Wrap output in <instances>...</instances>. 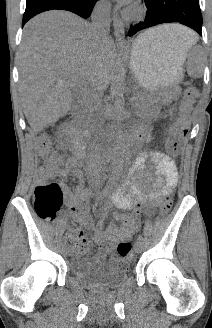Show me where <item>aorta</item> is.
<instances>
[{
	"instance_id": "1",
	"label": "aorta",
	"mask_w": 212,
	"mask_h": 328,
	"mask_svg": "<svg viewBox=\"0 0 212 328\" xmlns=\"http://www.w3.org/2000/svg\"><path fill=\"white\" fill-rule=\"evenodd\" d=\"M123 39L120 38L118 40V48L120 51L123 49ZM113 88L115 93V117L118 126L117 131V140L121 144L123 141V133H122V122L124 120V90H125V64L122 55L120 56L116 75L114 77ZM123 158L122 153L120 151H116L113 155V167L111 168L110 179L111 180H121L122 176L125 175V170L122 167Z\"/></svg>"
}]
</instances>
